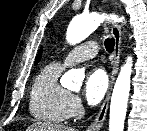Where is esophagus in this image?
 <instances>
[{
	"mask_svg": "<svg viewBox=\"0 0 147 131\" xmlns=\"http://www.w3.org/2000/svg\"><path fill=\"white\" fill-rule=\"evenodd\" d=\"M112 4L116 7V2L114 0H112ZM111 33L114 37L115 45H114V53H113L112 70H111V75H110L109 88H108L107 94L105 96V99L100 107V110L96 118L88 126L86 131H99L101 127L103 126L105 118H106V114L108 111L112 87H113V84L115 82V79L118 73L119 62H120V48H121V41H122L120 24L114 23L111 27Z\"/></svg>",
	"mask_w": 147,
	"mask_h": 131,
	"instance_id": "34e87169",
	"label": "esophagus"
}]
</instances>
